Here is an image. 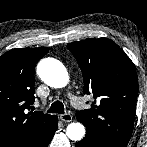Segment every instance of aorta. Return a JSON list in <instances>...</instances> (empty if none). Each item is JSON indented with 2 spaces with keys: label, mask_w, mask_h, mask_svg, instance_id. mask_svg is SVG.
I'll use <instances>...</instances> for the list:
<instances>
[{
  "label": "aorta",
  "mask_w": 147,
  "mask_h": 147,
  "mask_svg": "<svg viewBox=\"0 0 147 147\" xmlns=\"http://www.w3.org/2000/svg\"><path fill=\"white\" fill-rule=\"evenodd\" d=\"M37 74L48 86L53 88H63L69 81L64 65L52 58H46L39 62ZM66 135L73 141H80L85 135V127L81 123H70L67 126Z\"/></svg>",
  "instance_id": "obj_1"
}]
</instances>
